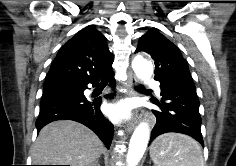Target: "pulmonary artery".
Here are the masks:
<instances>
[{
	"label": "pulmonary artery",
	"mask_w": 236,
	"mask_h": 166,
	"mask_svg": "<svg viewBox=\"0 0 236 166\" xmlns=\"http://www.w3.org/2000/svg\"><path fill=\"white\" fill-rule=\"evenodd\" d=\"M150 84H154L155 85V91L158 95H160V88L159 86L155 83V82H152V81H149Z\"/></svg>",
	"instance_id": "e3ab8cb5"
}]
</instances>
